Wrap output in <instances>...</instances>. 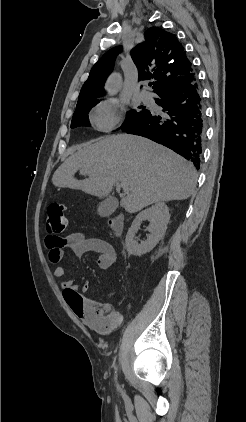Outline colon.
<instances>
[{"label":"colon","mask_w":246,"mask_h":422,"mask_svg":"<svg viewBox=\"0 0 246 422\" xmlns=\"http://www.w3.org/2000/svg\"><path fill=\"white\" fill-rule=\"evenodd\" d=\"M64 206L61 203H51L47 209V230L51 234L62 233L66 228Z\"/></svg>","instance_id":"1"}]
</instances>
